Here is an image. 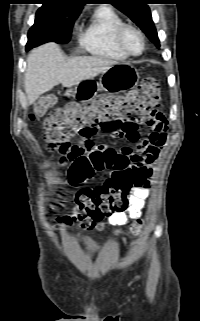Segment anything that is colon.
Wrapping results in <instances>:
<instances>
[{
  "label": "colon",
  "mask_w": 200,
  "mask_h": 321,
  "mask_svg": "<svg viewBox=\"0 0 200 321\" xmlns=\"http://www.w3.org/2000/svg\"><path fill=\"white\" fill-rule=\"evenodd\" d=\"M56 97L46 95L35 105L30 118L46 115L45 140L58 160L70 161L67 176L73 186H79L95 172L112 170L103 185L81 188L75 195V206L67 218L84 230L102 228V219L127 206L128 194L140 185V178L129 160L113 153L79 152L73 157L70 138L76 134L95 135L116 127L132 114H149L160 104V87L157 80L147 78L124 96L103 95L94 100L73 103L51 112ZM141 221L134 222L131 234L141 229Z\"/></svg>",
  "instance_id": "5ec220e1"
}]
</instances>
